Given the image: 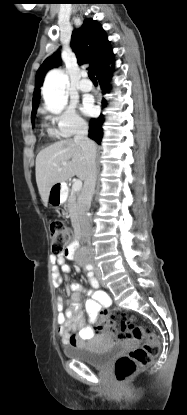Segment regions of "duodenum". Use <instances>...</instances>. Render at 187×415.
<instances>
[{"label":"duodenum","mask_w":187,"mask_h":415,"mask_svg":"<svg viewBox=\"0 0 187 415\" xmlns=\"http://www.w3.org/2000/svg\"><path fill=\"white\" fill-rule=\"evenodd\" d=\"M81 240V229L80 227L77 225L75 227V242L73 243L72 247L69 249V256H72L77 244L80 242Z\"/></svg>","instance_id":"duodenum-1"}]
</instances>
